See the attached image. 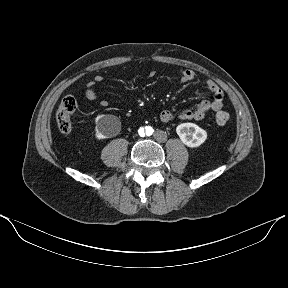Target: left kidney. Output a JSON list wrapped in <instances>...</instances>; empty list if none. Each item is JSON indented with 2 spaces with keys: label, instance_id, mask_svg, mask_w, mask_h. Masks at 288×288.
I'll return each instance as SVG.
<instances>
[{
  "label": "left kidney",
  "instance_id": "5707ae66",
  "mask_svg": "<svg viewBox=\"0 0 288 288\" xmlns=\"http://www.w3.org/2000/svg\"><path fill=\"white\" fill-rule=\"evenodd\" d=\"M180 140L188 147L200 146L207 138V132L194 123H182L176 128Z\"/></svg>",
  "mask_w": 288,
  "mask_h": 288
}]
</instances>
